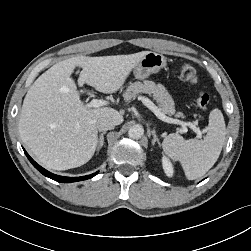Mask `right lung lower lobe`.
Returning a JSON list of instances; mask_svg holds the SVG:
<instances>
[{
    "instance_id": "98d812e1",
    "label": "right lung lower lobe",
    "mask_w": 251,
    "mask_h": 251,
    "mask_svg": "<svg viewBox=\"0 0 251 251\" xmlns=\"http://www.w3.org/2000/svg\"><path fill=\"white\" fill-rule=\"evenodd\" d=\"M26 156L28 157L29 161L33 164V166L39 171L41 172L44 176L49 177L57 182H61V183H69V182H77V181H82V180H86V179H90L92 177H94L95 175L98 174V172H95L93 174L87 175V176H82V177H64V176H59V175H55L47 170H45L44 168H42L40 165H38L29 155L28 153L24 150Z\"/></svg>"
}]
</instances>
